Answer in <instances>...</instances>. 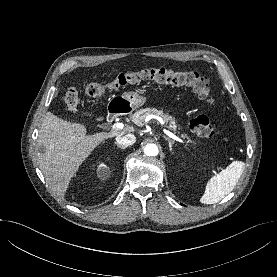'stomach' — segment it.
<instances>
[{"label": "stomach", "instance_id": "stomach-1", "mask_svg": "<svg viewBox=\"0 0 277 277\" xmlns=\"http://www.w3.org/2000/svg\"><path fill=\"white\" fill-rule=\"evenodd\" d=\"M146 102V97L138 92H125L121 96H114L109 101V107L115 112L128 114L140 107Z\"/></svg>", "mask_w": 277, "mask_h": 277}]
</instances>
